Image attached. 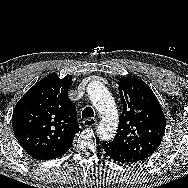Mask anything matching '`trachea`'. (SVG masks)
I'll return each instance as SVG.
<instances>
[{
	"mask_svg": "<svg viewBox=\"0 0 188 188\" xmlns=\"http://www.w3.org/2000/svg\"><path fill=\"white\" fill-rule=\"evenodd\" d=\"M94 117V111L91 107L84 108L82 112V118H92Z\"/></svg>",
	"mask_w": 188,
	"mask_h": 188,
	"instance_id": "3493384b",
	"label": "trachea"
}]
</instances>
